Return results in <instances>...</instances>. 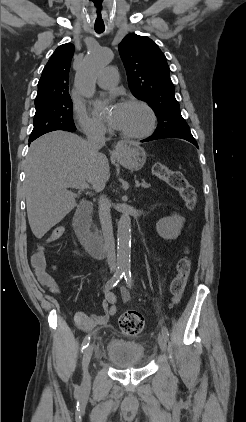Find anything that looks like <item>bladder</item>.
Wrapping results in <instances>:
<instances>
[{
  "label": "bladder",
  "mask_w": 246,
  "mask_h": 422,
  "mask_svg": "<svg viewBox=\"0 0 246 422\" xmlns=\"http://www.w3.org/2000/svg\"><path fill=\"white\" fill-rule=\"evenodd\" d=\"M106 357L119 368L141 367L145 364V346L135 340L112 338L106 345Z\"/></svg>",
  "instance_id": "obj_1"
}]
</instances>
